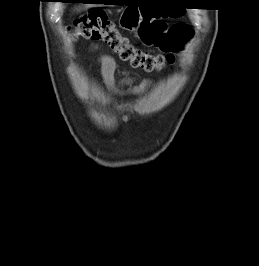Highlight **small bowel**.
<instances>
[{
  "label": "small bowel",
  "instance_id": "c3829d8e",
  "mask_svg": "<svg viewBox=\"0 0 259 266\" xmlns=\"http://www.w3.org/2000/svg\"><path fill=\"white\" fill-rule=\"evenodd\" d=\"M102 80L105 86L115 94L138 95L143 93L150 85L149 80H144L139 85H133L131 79H125L121 83H116L114 72L116 68L115 60L109 55H101L98 58Z\"/></svg>",
  "mask_w": 259,
  "mask_h": 266
}]
</instances>
